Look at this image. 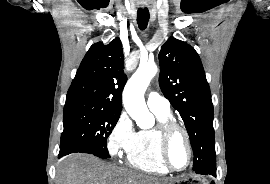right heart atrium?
Wrapping results in <instances>:
<instances>
[{
	"label": "right heart atrium",
	"instance_id": "right-heart-atrium-1",
	"mask_svg": "<svg viewBox=\"0 0 270 184\" xmlns=\"http://www.w3.org/2000/svg\"><path fill=\"white\" fill-rule=\"evenodd\" d=\"M137 132L133 121L126 112H121L113 124L107 137V150L110 155L118 157L128 153L135 140Z\"/></svg>",
	"mask_w": 270,
	"mask_h": 184
}]
</instances>
